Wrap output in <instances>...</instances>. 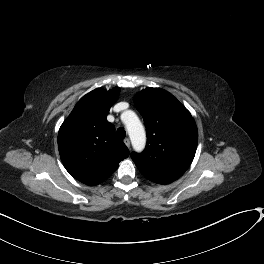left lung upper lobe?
Segmentation results:
<instances>
[{"mask_svg":"<svg viewBox=\"0 0 264 264\" xmlns=\"http://www.w3.org/2000/svg\"><path fill=\"white\" fill-rule=\"evenodd\" d=\"M135 107L147 132L146 148L133 152L132 160L150 181L168 184L191 165L198 142V130L190 112L169 92L148 88L138 93Z\"/></svg>","mask_w":264,"mask_h":264,"instance_id":"left-lung-upper-lobe-1","label":"left lung upper lobe"}]
</instances>
